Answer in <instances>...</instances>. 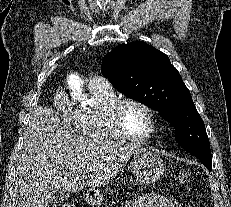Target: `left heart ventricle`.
I'll use <instances>...</instances> for the list:
<instances>
[{
    "instance_id": "1",
    "label": "left heart ventricle",
    "mask_w": 231,
    "mask_h": 207,
    "mask_svg": "<svg viewBox=\"0 0 231 207\" xmlns=\"http://www.w3.org/2000/svg\"><path fill=\"white\" fill-rule=\"evenodd\" d=\"M122 121L127 132L133 137H145L151 130L148 113L138 105L125 106L122 111Z\"/></svg>"
}]
</instances>
